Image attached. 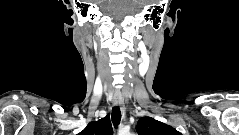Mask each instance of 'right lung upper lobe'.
<instances>
[{"label": "right lung upper lobe", "instance_id": "right-lung-upper-lobe-1", "mask_svg": "<svg viewBox=\"0 0 239 135\" xmlns=\"http://www.w3.org/2000/svg\"><path fill=\"white\" fill-rule=\"evenodd\" d=\"M113 130L109 116L90 122L78 135H112Z\"/></svg>", "mask_w": 239, "mask_h": 135}]
</instances>
